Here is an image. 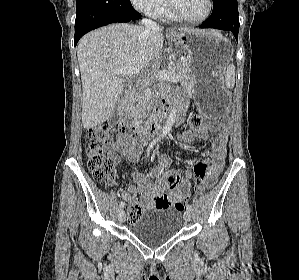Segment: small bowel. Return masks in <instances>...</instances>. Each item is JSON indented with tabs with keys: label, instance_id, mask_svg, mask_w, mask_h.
<instances>
[{
	"label": "small bowel",
	"instance_id": "obj_1",
	"mask_svg": "<svg viewBox=\"0 0 299 280\" xmlns=\"http://www.w3.org/2000/svg\"><path fill=\"white\" fill-rule=\"evenodd\" d=\"M184 103V102H183ZM178 118V123L183 122V112ZM200 133H190V129L181 128L178 135V144L184 149L191 146V142L195 138H205L209 132H217L218 135L212 143L210 156L204 158L200 162L207 164V179L214 182L223 169L224 160L227 153V142L229 138L230 126L228 122L219 123L216 121H205L200 127ZM107 153L118 161L116 152L126 156L131 161H137L139 158V150L133 139L121 133L116 142L106 147ZM196 161L198 158L195 159ZM169 160L162 158L159 165L154 168L149 175L141 172L133 173V180L136 183V191L141 195L140 202L144 208H169L179 201L188 199L192 172L187 171L182 177L179 172L167 170ZM161 176L158 181H152L151 178ZM122 198L128 203L136 201L135 196L130 191H124Z\"/></svg>",
	"mask_w": 299,
	"mask_h": 280
}]
</instances>
